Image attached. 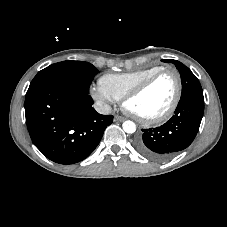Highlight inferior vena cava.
Returning <instances> with one entry per match:
<instances>
[{"mask_svg":"<svg viewBox=\"0 0 227 227\" xmlns=\"http://www.w3.org/2000/svg\"><path fill=\"white\" fill-rule=\"evenodd\" d=\"M94 108L98 113L104 114V115L110 114L112 111L111 106H109L107 104H98L97 103L94 105Z\"/></svg>","mask_w":227,"mask_h":227,"instance_id":"inferior-vena-cava-1","label":"inferior vena cava"}]
</instances>
